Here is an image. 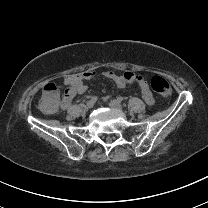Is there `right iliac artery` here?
<instances>
[{"instance_id": "right-iliac-artery-1", "label": "right iliac artery", "mask_w": 208, "mask_h": 208, "mask_svg": "<svg viewBox=\"0 0 208 208\" xmlns=\"http://www.w3.org/2000/svg\"><path fill=\"white\" fill-rule=\"evenodd\" d=\"M91 100H92L93 102H96V101H97V97H96V96H92V97H91Z\"/></svg>"}]
</instances>
